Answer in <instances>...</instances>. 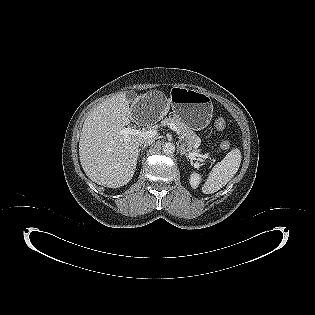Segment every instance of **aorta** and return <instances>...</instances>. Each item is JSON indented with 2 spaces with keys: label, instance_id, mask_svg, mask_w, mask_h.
Instances as JSON below:
<instances>
[{
  "label": "aorta",
  "instance_id": "762f6f07",
  "mask_svg": "<svg viewBox=\"0 0 315 315\" xmlns=\"http://www.w3.org/2000/svg\"><path fill=\"white\" fill-rule=\"evenodd\" d=\"M163 152L165 154H172L175 152V145L171 142H166L164 145H163Z\"/></svg>",
  "mask_w": 315,
  "mask_h": 315
}]
</instances>
